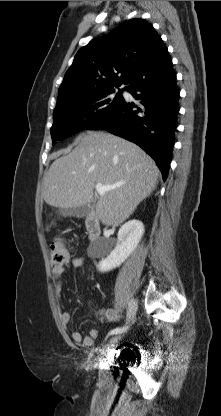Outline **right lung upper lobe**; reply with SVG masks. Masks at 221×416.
<instances>
[{"mask_svg": "<svg viewBox=\"0 0 221 416\" xmlns=\"http://www.w3.org/2000/svg\"><path fill=\"white\" fill-rule=\"evenodd\" d=\"M172 69L168 49L153 26L131 19L77 52L59 88L56 106L122 84L130 90L143 81L166 77Z\"/></svg>", "mask_w": 221, "mask_h": 416, "instance_id": "1", "label": "right lung upper lobe"}]
</instances>
